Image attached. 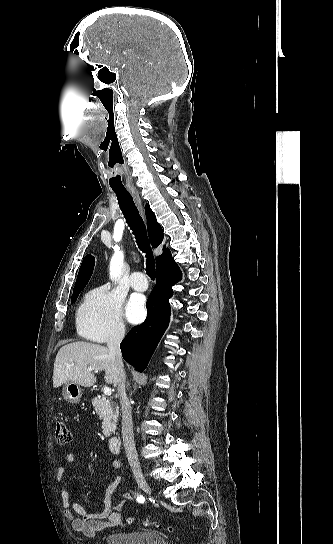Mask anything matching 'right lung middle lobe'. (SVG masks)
<instances>
[{"instance_id": "1", "label": "right lung middle lobe", "mask_w": 333, "mask_h": 544, "mask_svg": "<svg viewBox=\"0 0 333 544\" xmlns=\"http://www.w3.org/2000/svg\"><path fill=\"white\" fill-rule=\"evenodd\" d=\"M80 292H81V291H78V292H74V293L72 294L71 303H74V302L76 301V299H77V297H78V295H79Z\"/></svg>"}]
</instances>
